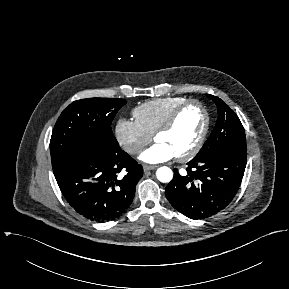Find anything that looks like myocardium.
<instances>
[{
  "label": "myocardium",
  "mask_w": 289,
  "mask_h": 289,
  "mask_svg": "<svg viewBox=\"0 0 289 289\" xmlns=\"http://www.w3.org/2000/svg\"><path fill=\"white\" fill-rule=\"evenodd\" d=\"M191 105H196L198 106L203 114H204V125L202 128V131L196 141V143L193 145V147L191 149H189L187 152H185L184 154L175 156L176 159L180 162H185L188 161L190 159H192L193 157H195L199 151L201 150V148L203 147L206 137L208 135L209 132V128H210V114L208 112V109L206 108V106L199 100L197 99H188L185 102H183L182 104H180L178 107H176L173 112L169 115V117L166 119V121L156 130V132L153 135L154 140H156V138L160 135V134H164L169 132L175 125V123L177 122L179 116L181 115V113L189 106Z\"/></svg>",
  "instance_id": "1"
}]
</instances>
